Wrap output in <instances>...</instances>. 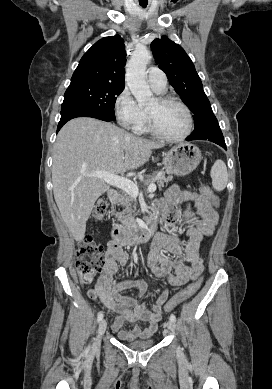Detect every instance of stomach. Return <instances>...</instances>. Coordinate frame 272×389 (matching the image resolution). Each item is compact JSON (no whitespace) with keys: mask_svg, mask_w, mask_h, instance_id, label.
Returning a JSON list of instances; mask_svg holds the SVG:
<instances>
[{"mask_svg":"<svg viewBox=\"0 0 272 389\" xmlns=\"http://www.w3.org/2000/svg\"><path fill=\"white\" fill-rule=\"evenodd\" d=\"M202 159L198 147L190 143H182L163 153V169L172 175L185 176L199 165Z\"/></svg>","mask_w":272,"mask_h":389,"instance_id":"obj_1","label":"stomach"}]
</instances>
